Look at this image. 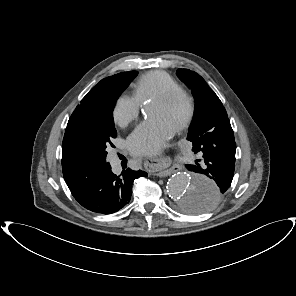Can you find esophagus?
<instances>
[{
    "label": "esophagus",
    "mask_w": 296,
    "mask_h": 296,
    "mask_svg": "<svg viewBox=\"0 0 296 296\" xmlns=\"http://www.w3.org/2000/svg\"><path fill=\"white\" fill-rule=\"evenodd\" d=\"M172 167V162L169 163H157L152 156L147 163L148 171L155 176H166L168 175Z\"/></svg>",
    "instance_id": "obj_1"
}]
</instances>
